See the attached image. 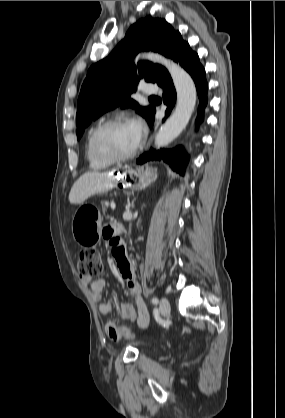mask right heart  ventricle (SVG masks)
Segmentation results:
<instances>
[{
    "label": "right heart ventricle",
    "instance_id": "right-heart-ventricle-1",
    "mask_svg": "<svg viewBox=\"0 0 285 418\" xmlns=\"http://www.w3.org/2000/svg\"><path fill=\"white\" fill-rule=\"evenodd\" d=\"M88 139L85 142V156L89 163V167L93 170H101L108 167L111 163L103 162L93 156V154L89 150L88 146Z\"/></svg>",
    "mask_w": 285,
    "mask_h": 418
}]
</instances>
